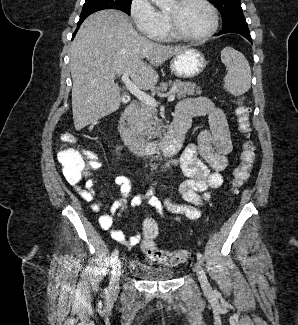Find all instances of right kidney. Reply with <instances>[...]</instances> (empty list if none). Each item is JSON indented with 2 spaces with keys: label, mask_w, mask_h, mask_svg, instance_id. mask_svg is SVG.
I'll return each instance as SVG.
<instances>
[{
  "label": "right kidney",
  "mask_w": 298,
  "mask_h": 325,
  "mask_svg": "<svg viewBox=\"0 0 298 325\" xmlns=\"http://www.w3.org/2000/svg\"><path fill=\"white\" fill-rule=\"evenodd\" d=\"M117 148H121V146H117Z\"/></svg>",
  "instance_id": "right-kidney-1"
}]
</instances>
